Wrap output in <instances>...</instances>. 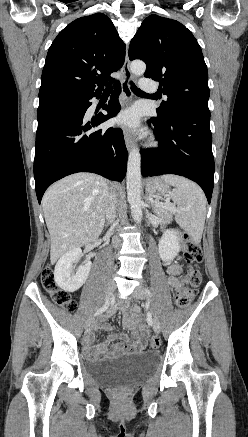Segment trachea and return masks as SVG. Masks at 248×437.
I'll return each mask as SVG.
<instances>
[{
  "label": "trachea",
  "mask_w": 248,
  "mask_h": 437,
  "mask_svg": "<svg viewBox=\"0 0 248 437\" xmlns=\"http://www.w3.org/2000/svg\"><path fill=\"white\" fill-rule=\"evenodd\" d=\"M131 88H132V91L136 94H146L145 92H143L142 90L137 88L134 83H131ZM112 89H113L112 86H107L105 88L104 92L110 93L112 91Z\"/></svg>",
  "instance_id": "trachea-1"
}]
</instances>
